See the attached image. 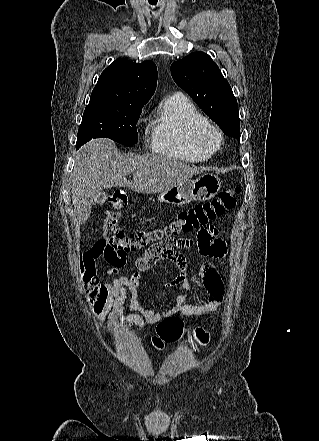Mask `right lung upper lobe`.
Returning <instances> with one entry per match:
<instances>
[{
    "instance_id": "right-lung-upper-lobe-1",
    "label": "right lung upper lobe",
    "mask_w": 319,
    "mask_h": 441,
    "mask_svg": "<svg viewBox=\"0 0 319 441\" xmlns=\"http://www.w3.org/2000/svg\"><path fill=\"white\" fill-rule=\"evenodd\" d=\"M156 83L157 67L153 62L138 64L117 59L100 75L88 105L144 106L154 94Z\"/></svg>"
}]
</instances>
